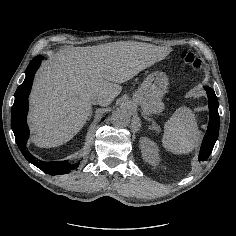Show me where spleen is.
I'll list each match as a JSON object with an SVG mask.
<instances>
[{"label":"spleen","instance_id":"1","mask_svg":"<svg viewBox=\"0 0 236 236\" xmlns=\"http://www.w3.org/2000/svg\"><path fill=\"white\" fill-rule=\"evenodd\" d=\"M199 136L193 113L187 108H179L165 123L162 142L174 153H186L197 144Z\"/></svg>","mask_w":236,"mask_h":236}]
</instances>
